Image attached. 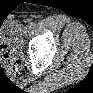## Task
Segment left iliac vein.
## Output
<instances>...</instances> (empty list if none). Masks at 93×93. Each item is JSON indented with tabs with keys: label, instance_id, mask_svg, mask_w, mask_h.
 Instances as JSON below:
<instances>
[{
	"label": "left iliac vein",
	"instance_id": "left-iliac-vein-1",
	"mask_svg": "<svg viewBox=\"0 0 93 93\" xmlns=\"http://www.w3.org/2000/svg\"><path fill=\"white\" fill-rule=\"evenodd\" d=\"M29 31H30L29 26H25L23 29V35H27V33H29Z\"/></svg>",
	"mask_w": 93,
	"mask_h": 93
}]
</instances>
